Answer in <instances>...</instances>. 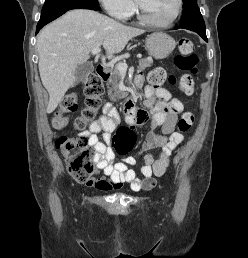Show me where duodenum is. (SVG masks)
Instances as JSON below:
<instances>
[{"label": "duodenum", "mask_w": 248, "mask_h": 258, "mask_svg": "<svg viewBox=\"0 0 248 258\" xmlns=\"http://www.w3.org/2000/svg\"><path fill=\"white\" fill-rule=\"evenodd\" d=\"M96 72H97V74L100 76V78L102 80H108L109 77H110L109 69L107 67H105V66H102L101 64L97 65ZM134 108H136V107H134L132 105L131 101L129 103H127V105H126V107L124 109L125 116L126 117L130 116L131 113L133 112Z\"/></svg>", "instance_id": "duodenum-1"}]
</instances>
